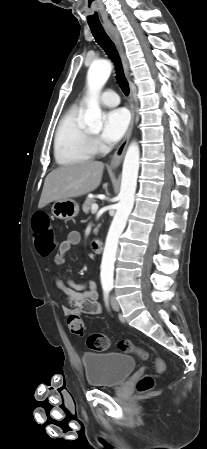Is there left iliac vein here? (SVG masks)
<instances>
[{
	"label": "left iliac vein",
	"mask_w": 207,
	"mask_h": 449,
	"mask_svg": "<svg viewBox=\"0 0 207 449\" xmlns=\"http://www.w3.org/2000/svg\"><path fill=\"white\" fill-rule=\"evenodd\" d=\"M111 306L115 311L119 310V304L114 296L111 297Z\"/></svg>",
	"instance_id": "obj_1"
}]
</instances>
